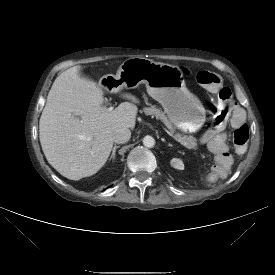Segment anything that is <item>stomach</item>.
Here are the masks:
<instances>
[{
    "mask_svg": "<svg viewBox=\"0 0 275 275\" xmlns=\"http://www.w3.org/2000/svg\"><path fill=\"white\" fill-rule=\"evenodd\" d=\"M145 84L148 94L158 101L175 127L195 133L206 121V110L200 99L185 84L176 65L158 63L146 58H129L116 74L103 76L98 85L103 91L117 92Z\"/></svg>",
    "mask_w": 275,
    "mask_h": 275,
    "instance_id": "obj_1",
    "label": "stomach"
}]
</instances>
